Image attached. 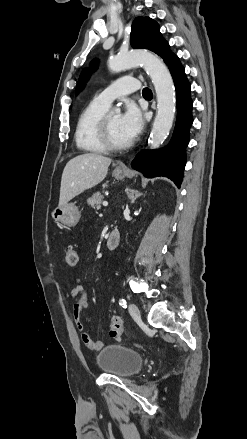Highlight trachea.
<instances>
[{
  "label": "trachea",
  "mask_w": 247,
  "mask_h": 439,
  "mask_svg": "<svg viewBox=\"0 0 247 439\" xmlns=\"http://www.w3.org/2000/svg\"><path fill=\"white\" fill-rule=\"evenodd\" d=\"M142 94L144 97H152V91L149 88H144Z\"/></svg>",
  "instance_id": "trachea-1"
}]
</instances>
